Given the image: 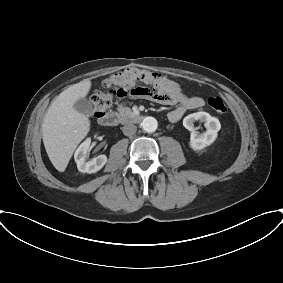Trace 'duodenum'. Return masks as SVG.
<instances>
[{"instance_id": "duodenum-1", "label": "duodenum", "mask_w": 283, "mask_h": 283, "mask_svg": "<svg viewBox=\"0 0 283 283\" xmlns=\"http://www.w3.org/2000/svg\"><path fill=\"white\" fill-rule=\"evenodd\" d=\"M142 120L143 116L139 113H128L120 116L115 112H107L98 117L99 124L105 127H114L120 121L124 123H140Z\"/></svg>"}]
</instances>
